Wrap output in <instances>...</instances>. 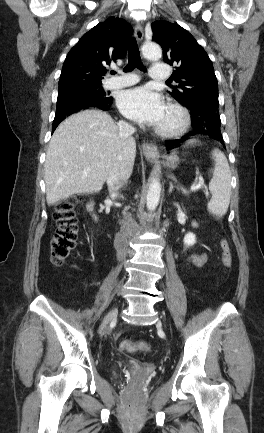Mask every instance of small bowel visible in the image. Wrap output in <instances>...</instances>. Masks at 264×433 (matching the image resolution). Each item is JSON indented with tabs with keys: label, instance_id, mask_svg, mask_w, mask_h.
<instances>
[{
	"label": "small bowel",
	"instance_id": "obj_1",
	"mask_svg": "<svg viewBox=\"0 0 264 433\" xmlns=\"http://www.w3.org/2000/svg\"><path fill=\"white\" fill-rule=\"evenodd\" d=\"M206 260V256L204 254H196L191 257V262L195 265H202Z\"/></svg>",
	"mask_w": 264,
	"mask_h": 433
}]
</instances>
